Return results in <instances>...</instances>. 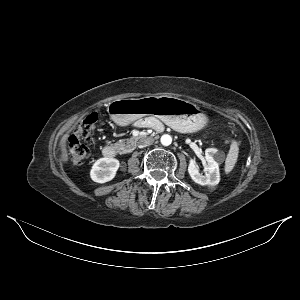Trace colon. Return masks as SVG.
<instances>
[{
  "label": "colon",
  "instance_id": "1",
  "mask_svg": "<svg viewBox=\"0 0 300 300\" xmlns=\"http://www.w3.org/2000/svg\"><path fill=\"white\" fill-rule=\"evenodd\" d=\"M96 121V115L86 117L76 126L74 133L68 137V155L74 165H80L88 158L89 144Z\"/></svg>",
  "mask_w": 300,
  "mask_h": 300
}]
</instances>
